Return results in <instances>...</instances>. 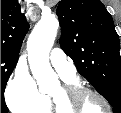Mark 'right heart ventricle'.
<instances>
[{
  "label": "right heart ventricle",
  "mask_w": 121,
  "mask_h": 113,
  "mask_svg": "<svg viewBox=\"0 0 121 113\" xmlns=\"http://www.w3.org/2000/svg\"><path fill=\"white\" fill-rule=\"evenodd\" d=\"M63 79V78H62ZM66 83H76V78L63 79ZM53 107L48 96L43 95L42 102L37 109V113H52ZM55 113V112H54Z\"/></svg>",
  "instance_id": "1"
}]
</instances>
